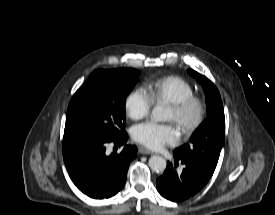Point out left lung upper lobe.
Wrapping results in <instances>:
<instances>
[{
    "mask_svg": "<svg viewBox=\"0 0 275 215\" xmlns=\"http://www.w3.org/2000/svg\"><path fill=\"white\" fill-rule=\"evenodd\" d=\"M188 73L202 85L208 117L193 132L190 142L175 149L179 159L194 160L216 168L225 138V116L219 91L205 76L189 69Z\"/></svg>",
    "mask_w": 275,
    "mask_h": 215,
    "instance_id": "left-lung-upper-lobe-1",
    "label": "left lung upper lobe"
}]
</instances>
